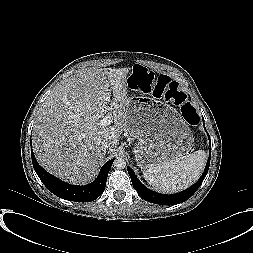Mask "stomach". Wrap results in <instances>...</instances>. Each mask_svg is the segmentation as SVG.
Returning <instances> with one entry per match:
<instances>
[{"label":"stomach","mask_w":253,"mask_h":253,"mask_svg":"<svg viewBox=\"0 0 253 253\" xmlns=\"http://www.w3.org/2000/svg\"><path fill=\"white\" fill-rule=\"evenodd\" d=\"M125 129L138 141L133 152L137 164L143 168L181 157L194 144L182 114L151 97L129 98Z\"/></svg>","instance_id":"0dacf381"}]
</instances>
